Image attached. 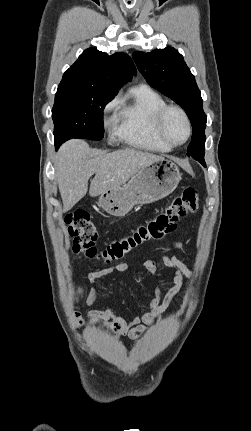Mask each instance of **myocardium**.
Here are the masks:
<instances>
[{
	"label": "myocardium",
	"mask_w": 251,
	"mask_h": 431,
	"mask_svg": "<svg viewBox=\"0 0 251 431\" xmlns=\"http://www.w3.org/2000/svg\"><path fill=\"white\" fill-rule=\"evenodd\" d=\"M171 110H175V111L179 112L182 115V117L186 123L187 135H186L185 139L180 143L172 142L171 140H169L167 138V136L164 133V129H163L164 119H165L167 113ZM153 128H154V132H155L156 136L160 139V141H162L164 144H166L167 146H169L171 148L179 147V146L185 144L190 139L191 134H192V126H191V121L189 119L188 114L186 113V111L182 107H180L178 105H173V104H165L161 108L158 109V111L156 112V114L154 116Z\"/></svg>",
	"instance_id": "obj_1"
}]
</instances>
